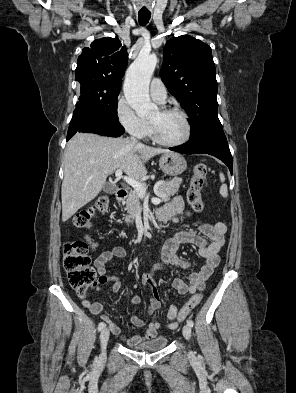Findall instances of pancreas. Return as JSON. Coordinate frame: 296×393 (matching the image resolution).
<instances>
[{
    "mask_svg": "<svg viewBox=\"0 0 296 393\" xmlns=\"http://www.w3.org/2000/svg\"><path fill=\"white\" fill-rule=\"evenodd\" d=\"M182 178H174L170 181H165L160 186V195L159 197L163 202H167L170 200V197L173 196L178 192L180 185L182 184ZM146 186V185H145ZM140 199L141 196L133 190L130 192L129 196L127 197L124 204L126 205L125 210L127 211L128 215L125 217V221L127 223H133L135 216L140 207Z\"/></svg>",
    "mask_w": 296,
    "mask_h": 393,
    "instance_id": "obj_1",
    "label": "pancreas"
}]
</instances>
